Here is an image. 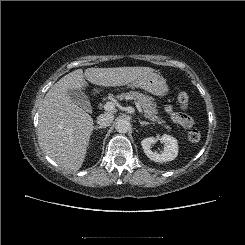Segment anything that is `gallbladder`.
<instances>
[{
  "label": "gallbladder",
  "instance_id": "1",
  "mask_svg": "<svg viewBox=\"0 0 245 245\" xmlns=\"http://www.w3.org/2000/svg\"><path fill=\"white\" fill-rule=\"evenodd\" d=\"M70 99L81 108L90 111L91 104L88 96L80 89H68Z\"/></svg>",
  "mask_w": 245,
  "mask_h": 245
}]
</instances>
